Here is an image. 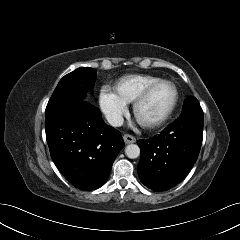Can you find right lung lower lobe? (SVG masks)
<instances>
[{"label": "right lung lower lobe", "instance_id": "obj_1", "mask_svg": "<svg viewBox=\"0 0 240 240\" xmlns=\"http://www.w3.org/2000/svg\"><path fill=\"white\" fill-rule=\"evenodd\" d=\"M45 117L51 158L65 178L81 190L105 184L124 146L120 132L87 101L46 108Z\"/></svg>", "mask_w": 240, "mask_h": 240}]
</instances>
